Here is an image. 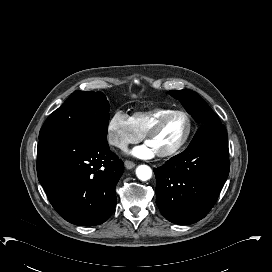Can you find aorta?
<instances>
[{"mask_svg": "<svg viewBox=\"0 0 272 272\" xmlns=\"http://www.w3.org/2000/svg\"><path fill=\"white\" fill-rule=\"evenodd\" d=\"M136 175H137L138 179H140L142 181H147V180L151 179V177H152V170L147 165H139L136 168Z\"/></svg>", "mask_w": 272, "mask_h": 272, "instance_id": "aorta-1", "label": "aorta"}]
</instances>
